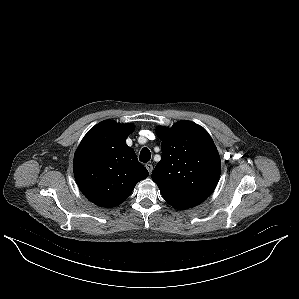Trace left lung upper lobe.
Segmentation results:
<instances>
[{
    "label": "left lung upper lobe",
    "mask_w": 299,
    "mask_h": 299,
    "mask_svg": "<svg viewBox=\"0 0 299 299\" xmlns=\"http://www.w3.org/2000/svg\"><path fill=\"white\" fill-rule=\"evenodd\" d=\"M161 161L152 172L163 198L173 207H194L214 191L221 172L217 148L201 126L179 121L171 128L158 127Z\"/></svg>",
    "instance_id": "obj_1"
}]
</instances>
